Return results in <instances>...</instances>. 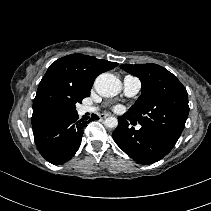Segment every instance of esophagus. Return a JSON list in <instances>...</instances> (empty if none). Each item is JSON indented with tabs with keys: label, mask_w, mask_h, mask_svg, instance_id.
<instances>
[{
	"label": "esophagus",
	"mask_w": 211,
	"mask_h": 211,
	"mask_svg": "<svg viewBox=\"0 0 211 211\" xmlns=\"http://www.w3.org/2000/svg\"><path fill=\"white\" fill-rule=\"evenodd\" d=\"M110 116V114H107V113H102V114H100V118H107V117H109Z\"/></svg>",
	"instance_id": "34e87169"
}]
</instances>
